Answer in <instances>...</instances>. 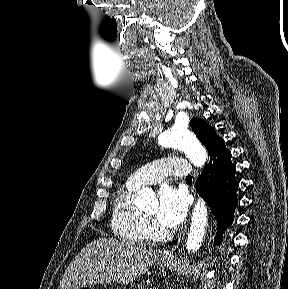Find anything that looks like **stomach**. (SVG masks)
<instances>
[{
  "label": "stomach",
  "mask_w": 288,
  "mask_h": 289,
  "mask_svg": "<svg viewBox=\"0 0 288 289\" xmlns=\"http://www.w3.org/2000/svg\"><path fill=\"white\" fill-rule=\"evenodd\" d=\"M172 264V261L170 260H161L159 265H160V268H166V267H169L170 265ZM83 289H93L91 287H88V286H85V287H82Z\"/></svg>",
  "instance_id": "0dacf381"
}]
</instances>
